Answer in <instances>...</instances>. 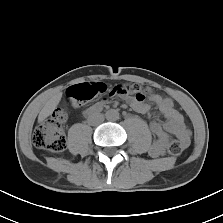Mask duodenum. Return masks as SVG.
Listing matches in <instances>:
<instances>
[{"mask_svg": "<svg viewBox=\"0 0 223 223\" xmlns=\"http://www.w3.org/2000/svg\"><path fill=\"white\" fill-rule=\"evenodd\" d=\"M95 112H96L95 109H89V110L87 111V114H93V113H95Z\"/></svg>", "mask_w": 223, "mask_h": 223, "instance_id": "obj_1", "label": "duodenum"}]
</instances>
